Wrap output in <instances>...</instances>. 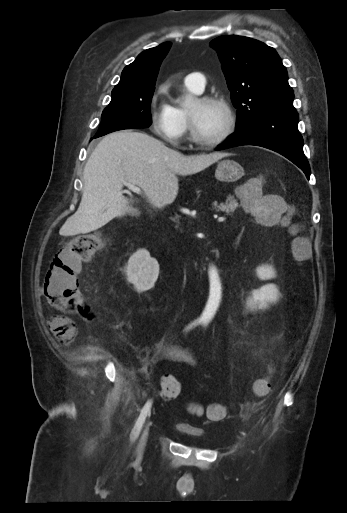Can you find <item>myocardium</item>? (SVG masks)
<instances>
[{"label":"myocardium","mask_w":347,"mask_h":513,"mask_svg":"<svg viewBox=\"0 0 347 513\" xmlns=\"http://www.w3.org/2000/svg\"><path fill=\"white\" fill-rule=\"evenodd\" d=\"M198 101L203 102V103L217 104V105L221 106L225 111L226 119H227L225 129L219 136H217L216 138H213V139H209V140L203 139L198 135V133L195 129L194 123H193L189 113H187L188 127H189V131H190V136H191V139L193 140V142L202 147H207V148L215 147V146L221 144L223 141H225L234 132L235 125H236V117H235L234 111H233L231 105L229 104V102L222 97L202 96L198 99Z\"/></svg>","instance_id":"f54148a6"}]
</instances>
